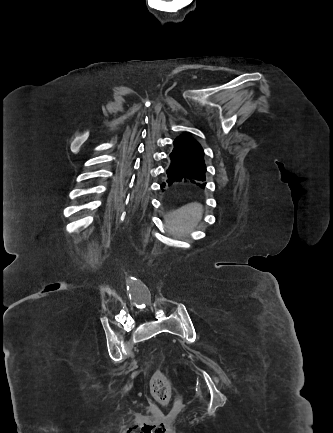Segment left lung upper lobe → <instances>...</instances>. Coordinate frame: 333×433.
I'll return each mask as SVG.
<instances>
[{
	"instance_id": "obj_1",
	"label": "left lung upper lobe",
	"mask_w": 333,
	"mask_h": 433,
	"mask_svg": "<svg viewBox=\"0 0 333 433\" xmlns=\"http://www.w3.org/2000/svg\"><path fill=\"white\" fill-rule=\"evenodd\" d=\"M177 139H179L182 142L190 145L191 147L195 148L201 154L204 155V151H203L201 145L190 134L180 135Z\"/></svg>"
}]
</instances>
